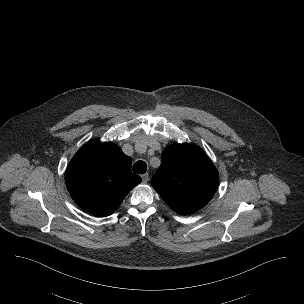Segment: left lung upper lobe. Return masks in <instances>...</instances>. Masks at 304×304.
<instances>
[{
  "instance_id": "left-lung-upper-lobe-1",
  "label": "left lung upper lobe",
  "mask_w": 304,
  "mask_h": 304,
  "mask_svg": "<svg viewBox=\"0 0 304 304\" xmlns=\"http://www.w3.org/2000/svg\"><path fill=\"white\" fill-rule=\"evenodd\" d=\"M219 174L205 152L191 144L168 145L152 178L154 189L176 213L187 215L213 197Z\"/></svg>"
}]
</instances>
